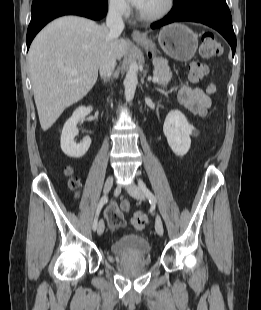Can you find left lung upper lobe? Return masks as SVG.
<instances>
[{"instance_id": "obj_1", "label": "left lung upper lobe", "mask_w": 261, "mask_h": 310, "mask_svg": "<svg viewBox=\"0 0 261 310\" xmlns=\"http://www.w3.org/2000/svg\"><path fill=\"white\" fill-rule=\"evenodd\" d=\"M183 1H185V0H174V4H177V3H181V2H183Z\"/></svg>"}]
</instances>
